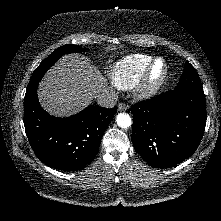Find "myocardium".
Listing matches in <instances>:
<instances>
[{
	"label": "myocardium",
	"instance_id": "f54148a6",
	"mask_svg": "<svg viewBox=\"0 0 221 221\" xmlns=\"http://www.w3.org/2000/svg\"><path fill=\"white\" fill-rule=\"evenodd\" d=\"M158 62L163 64V70L157 78H153V69ZM168 72L169 67L165 59L161 57L152 59L135 85L137 95L142 98L156 95L164 85Z\"/></svg>",
	"mask_w": 221,
	"mask_h": 221
}]
</instances>
